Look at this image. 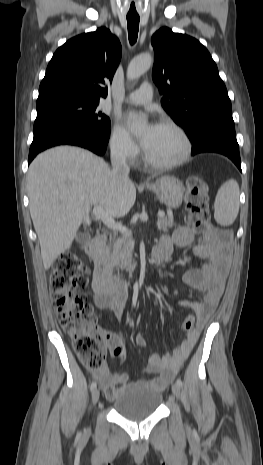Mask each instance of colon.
Masks as SVG:
<instances>
[{"label": "colon", "mask_w": 263, "mask_h": 465, "mask_svg": "<svg viewBox=\"0 0 263 465\" xmlns=\"http://www.w3.org/2000/svg\"><path fill=\"white\" fill-rule=\"evenodd\" d=\"M186 221L196 233L207 239L212 235L208 212V185L201 178L190 177L185 192ZM51 299L59 323L72 340L81 363L92 371L105 368L106 342L96 326L94 309L77 288L86 285L84 267L75 251L62 254L54 263L50 277ZM184 332L195 329V317L187 316L181 325Z\"/></svg>", "instance_id": "obj_1"}]
</instances>
